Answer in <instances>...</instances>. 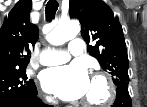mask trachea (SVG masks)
<instances>
[{
	"mask_svg": "<svg viewBox=\"0 0 147 107\" xmlns=\"http://www.w3.org/2000/svg\"><path fill=\"white\" fill-rule=\"evenodd\" d=\"M58 6L59 4L56 0H49L47 2L46 8H45L46 19L51 20L55 17Z\"/></svg>",
	"mask_w": 147,
	"mask_h": 107,
	"instance_id": "3493384b",
	"label": "trachea"
}]
</instances>
